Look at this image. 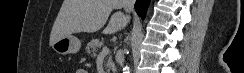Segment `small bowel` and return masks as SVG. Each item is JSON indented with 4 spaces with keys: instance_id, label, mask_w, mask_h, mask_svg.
Wrapping results in <instances>:
<instances>
[{
    "instance_id": "1",
    "label": "small bowel",
    "mask_w": 244,
    "mask_h": 73,
    "mask_svg": "<svg viewBox=\"0 0 244 73\" xmlns=\"http://www.w3.org/2000/svg\"><path fill=\"white\" fill-rule=\"evenodd\" d=\"M77 73H86L84 69H78Z\"/></svg>"
}]
</instances>
